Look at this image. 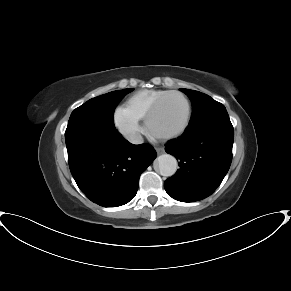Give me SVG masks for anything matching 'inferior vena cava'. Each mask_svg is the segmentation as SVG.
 I'll return each mask as SVG.
<instances>
[{"instance_id":"1","label":"inferior vena cava","mask_w":291,"mask_h":291,"mask_svg":"<svg viewBox=\"0 0 291 291\" xmlns=\"http://www.w3.org/2000/svg\"><path fill=\"white\" fill-rule=\"evenodd\" d=\"M128 140L133 144H141L143 143L142 136L138 133H133L128 137Z\"/></svg>"}]
</instances>
